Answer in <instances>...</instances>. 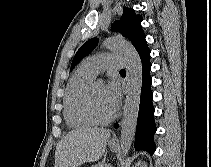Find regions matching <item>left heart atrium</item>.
<instances>
[{"label":"left heart atrium","mask_w":211,"mask_h":167,"mask_svg":"<svg viewBox=\"0 0 211 167\" xmlns=\"http://www.w3.org/2000/svg\"><path fill=\"white\" fill-rule=\"evenodd\" d=\"M105 98L113 112H116L120 102V87L116 80H110L104 87Z\"/></svg>","instance_id":"1"}]
</instances>
